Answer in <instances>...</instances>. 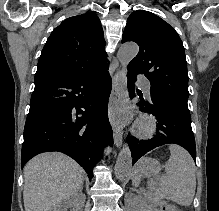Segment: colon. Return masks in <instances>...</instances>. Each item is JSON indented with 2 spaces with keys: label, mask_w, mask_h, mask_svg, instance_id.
I'll return each mask as SVG.
<instances>
[{
  "label": "colon",
  "mask_w": 219,
  "mask_h": 211,
  "mask_svg": "<svg viewBox=\"0 0 219 211\" xmlns=\"http://www.w3.org/2000/svg\"><path fill=\"white\" fill-rule=\"evenodd\" d=\"M162 211H179V209L170 203H165L162 205Z\"/></svg>",
  "instance_id": "1"
}]
</instances>
